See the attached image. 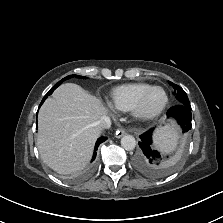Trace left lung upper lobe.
Returning a JSON list of instances; mask_svg holds the SVG:
<instances>
[{"label":"left lung upper lobe","instance_id":"left-lung-upper-lobe-1","mask_svg":"<svg viewBox=\"0 0 223 223\" xmlns=\"http://www.w3.org/2000/svg\"><path fill=\"white\" fill-rule=\"evenodd\" d=\"M168 83L174 88L175 90L174 94L176 95V98L179 101V104L190 105L189 99L185 91L181 87H179L178 85H175L174 83L170 81Z\"/></svg>","mask_w":223,"mask_h":223}]
</instances>
